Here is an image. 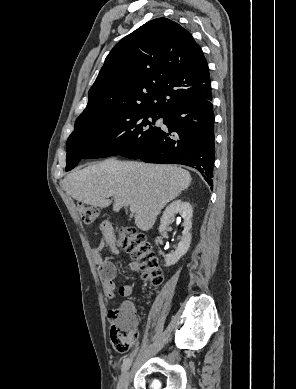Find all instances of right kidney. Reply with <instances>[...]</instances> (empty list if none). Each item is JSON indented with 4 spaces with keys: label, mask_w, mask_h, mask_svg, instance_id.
<instances>
[{
    "label": "right kidney",
    "mask_w": 296,
    "mask_h": 389,
    "mask_svg": "<svg viewBox=\"0 0 296 389\" xmlns=\"http://www.w3.org/2000/svg\"><path fill=\"white\" fill-rule=\"evenodd\" d=\"M176 215L180 216L178 219H183L182 237L175 252L165 256L164 266L166 267L176 264L178 260L187 253L192 238L190 229L192 227L193 209L190 203L182 200L173 201L169 206H167L160 220L159 233L166 230L167 225Z\"/></svg>",
    "instance_id": "right-kidney-1"
}]
</instances>
